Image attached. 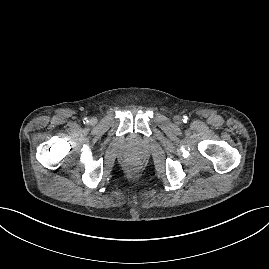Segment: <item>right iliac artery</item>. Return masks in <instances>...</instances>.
I'll list each match as a JSON object with an SVG mask.
<instances>
[{"label": "right iliac artery", "instance_id": "obj_1", "mask_svg": "<svg viewBox=\"0 0 269 269\" xmlns=\"http://www.w3.org/2000/svg\"><path fill=\"white\" fill-rule=\"evenodd\" d=\"M84 123H85V124L89 123L88 118H84Z\"/></svg>", "mask_w": 269, "mask_h": 269}]
</instances>
